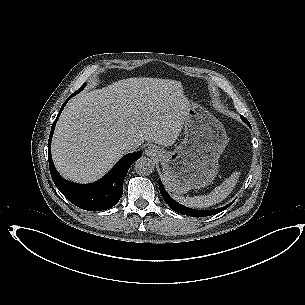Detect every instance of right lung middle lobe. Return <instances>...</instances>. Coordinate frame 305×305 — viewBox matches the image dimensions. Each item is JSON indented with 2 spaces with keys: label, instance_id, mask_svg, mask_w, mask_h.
I'll use <instances>...</instances> for the list:
<instances>
[{
  "label": "right lung middle lobe",
  "instance_id": "obj_1",
  "mask_svg": "<svg viewBox=\"0 0 305 305\" xmlns=\"http://www.w3.org/2000/svg\"><path fill=\"white\" fill-rule=\"evenodd\" d=\"M85 83L81 86V88L78 90V91H76L72 96H74V95H76L77 93H79L81 90H83L84 89V87H85Z\"/></svg>",
  "mask_w": 305,
  "mask_h": 305
}]
</instances>
